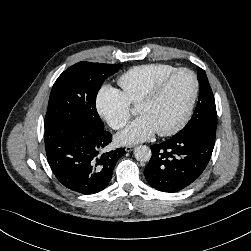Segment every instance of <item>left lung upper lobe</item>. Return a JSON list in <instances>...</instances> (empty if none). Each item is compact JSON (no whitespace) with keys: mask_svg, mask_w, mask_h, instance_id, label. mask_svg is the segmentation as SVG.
<instances>
[{"mask_svg":"<svg viewBox=\"0 0 251 251\" xmlns=\"http://www.w3.org/2000/svg\"><path fill=\"white\" fill-rule=\"evenodd\" d=\"M199 99L192 118L176 135L180 136L195 130L216 134L217 113L214 96L203 69H198Z\"/></svg>","mask_w":251,"mask_h":251,"instance_id":"5c2ea615","label":"left lung upper lobe"}]
</instances>
